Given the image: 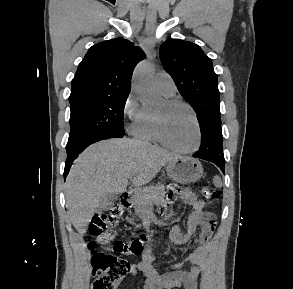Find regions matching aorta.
I'll return each mask as SVG.
<instances>
[{
    "mask_svg": "<svg viewBox=\"0 0 293 289\" xmlns=\"http://www.w3.org/2000/svg\"><path fill=\"white\" fill-rule=\"evenodd\" d=\"M153 74L154 68L149 62L138 64L133 74L132 87L143 105H154L160 100L153 85Z\"/></svg>",
    "mask_w": 293,
    "mask_h": 289,
    "instance_id": "1",
    "label": "aorta"
}]
</instances>
